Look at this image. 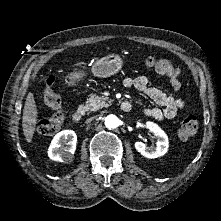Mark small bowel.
<instances>
[{"label":"small bowel","instance_id":"obj_1","mask_svg":"<svg viewBox=\"0 0 221 221\" xmlns=\"http://www.w3.org/2000/svg\"><path fill=\"white\" fill-rule=\"evenodd\" d=\"M171 87L174 91H180L182 89V83L179 76L170 80ZM125 88H135L138 91L143 92L152 101H154L159 107L145 108L143 113L155 120L174 119L178 112L186 107L184 99L176 97L174 95L163 92L162 90L150 86L147 77H127L123 80Z\"/></svg>","mask_w":221,"mask_h":221}]
</instances>
